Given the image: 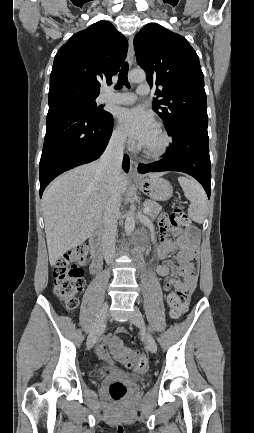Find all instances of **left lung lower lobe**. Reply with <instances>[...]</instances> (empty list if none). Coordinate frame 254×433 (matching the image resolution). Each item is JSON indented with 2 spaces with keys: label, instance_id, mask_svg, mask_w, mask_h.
<instances>
[{
  "label": "left lung lower lobe",
  "instance_id": "left-lung-lower-lobe-1",
  "mask_svg": "<svg viewBox=\"0 0 254 433\" xmlns=\"http://www.w3.org/2000/svg\"><path fill=\"white\" fill-rule=\"evenodd\" d=\"M173 144L166 156L150 164H139L138 172L179 171L198 180L204 187L208 198L211 193V162L207 125L187 123L169 133Z\"/></svg>",
  "mask_w": 254,
  "mask_h": 433
}]
</instances>
